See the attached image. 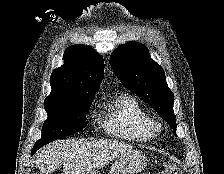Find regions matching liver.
<instances>
[{
  "instance_id": "obj_1",
  "label": "liver",
  "mask_w": 224,
  "mask_h": 174,
  "mask_svg": "<svg viewBox=\"0 0 224 174\" xmlns=\"http://www.w3.org/2000/svg\"><path fill=\"white\" fill-rule=\"evenodd\" d=\"M131 150L132 146L118 141H58L37 153L35 166L43 174H51L60 165L64 174H87Z\"/></svg>"
}]
</instances>
